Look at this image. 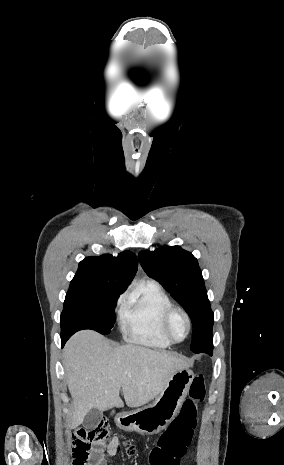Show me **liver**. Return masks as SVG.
<instances>
[{
    "label": "liver",
    "instance_id": "1",
    "mask_svg": "<svg viewBox=\"0 0 284 465\" xmlns=\"http://www.w3.org/2000/svg\"><path fill=\"white\" fill-rule=\"evenodd\" d=\"M63 365L73 399V413L67 427L82 425L91 409L108 411L123 407H143L156 399L170 377L188 369L187 359L166 351H152L138 345L111 347L95 331L75 333L63 349Z\"/></svg>",
    "mask_w": 284,
    "mask_h": 465
}]
</instances>
